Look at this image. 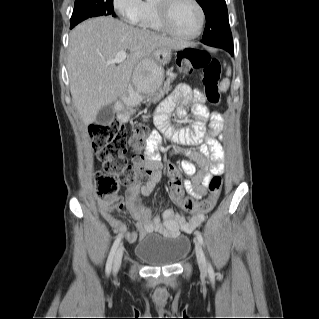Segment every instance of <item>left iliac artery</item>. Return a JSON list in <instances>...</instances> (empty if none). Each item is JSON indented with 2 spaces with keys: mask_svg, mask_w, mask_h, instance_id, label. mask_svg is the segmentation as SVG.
Segmentation results:
<instances>
[{
  "mask_svg": "<svg viewBox=\"0 0 319 319\" xmlns=\"http://www.w3.org/2000/svg\"><path fill=\"white\" fill-rule=\"evenodd\" d=\"M196 236H197L198 241L203 245L204 242H203L202 235L199 232H196ZM208 272L210 275H214V270H213L210 263L208 264Z\"/></svg>",
  "mask_w": 319,
  "mask_h": 319,
  "instance_id": "44dca946",
  "label": "left iliac artery"
}]
</instances>
